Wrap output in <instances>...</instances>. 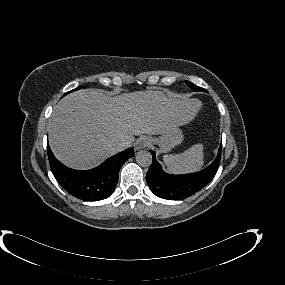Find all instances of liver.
Here are the masks:
<instances>
[{
	"instance_id": "obj_1",
	"label": "liver",
	"mask_w": 285,
	"mask_h": 285,
	"mask_svg": "<svg viewBox=\"0 0 285 285\" xmlns=\"http://www.w3.org/2000/svg\"><path fill=\"white\" fill-rule=\"evenodd\" d=\"M201 106L198 99L161 91H136L108 97L98 89L68 94L49 120V144L62 163L76 169L97 166L118 151L114 144L134 136L162 135L189 123Z\"/></svg>"
}]
</instances>
